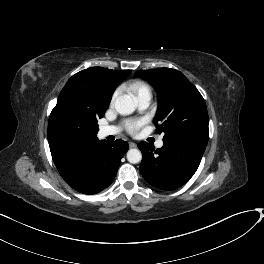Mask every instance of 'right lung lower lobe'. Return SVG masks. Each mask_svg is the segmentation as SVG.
<instances>
[{"label":"right lung lower lobe","instance_id":"1","mask_svg":"<svg viewBox=\"0 0 264 264\" xmlns=\"http://www.w3.org/2000/svg\"><path fill=\"white\" fill-rule=\"evenodd\" d=\"M127 142L98 140L56 165L60 175L74 190L96 194L113 182Z\"/></svg>","mask_w":264,"mask_h":264}]
</instances>
